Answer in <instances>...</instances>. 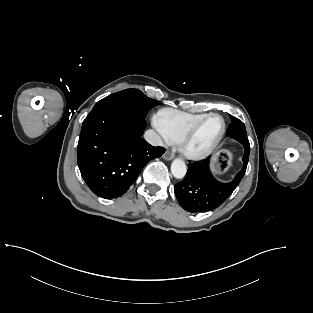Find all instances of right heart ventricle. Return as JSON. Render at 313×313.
<instances>
[{"instance_id":"1","label":"right heart ventricle","mask_w":313,"mask_h":313,"mask_svg":"<svg viewBox=\"0 0 313 313\" xmlns=\"http://www.w3.org/2000/svg\"><path fill=\"white\" fill-rule=\"evenodd\" d=\"M207 114H193L174 109L161 110L156 125L170 143H179L186 131Z\"/></svg>"}]
</instances>
